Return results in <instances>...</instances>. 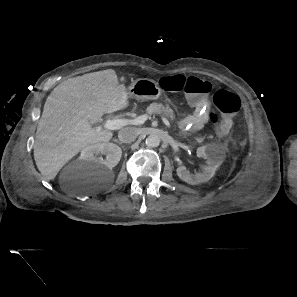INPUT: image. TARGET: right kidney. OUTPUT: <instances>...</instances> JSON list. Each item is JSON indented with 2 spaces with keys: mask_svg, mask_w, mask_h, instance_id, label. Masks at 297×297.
Here are the masks:
<instances>
[{
  "mask_svg": "<svg viewBox=\"0 0 297 297\" xmlns=\"http://www.w3.org/2000/svg\"><path fill=\"white\" fill-rule=\"evenodd\" d=\"M106 155L105 159L96 157L95 155ZM122 150L119 146L113 143L104 142L92 144L85 147L81 151L80 159L90 162L95 166L104 165L109 169L115 167L121 159Z\"/></svg>",
  "mask_w": 297,
  "mask_h": 297,
  "instance_id": "obj_1",
  "label": "right kidney"
}]
</instances>
